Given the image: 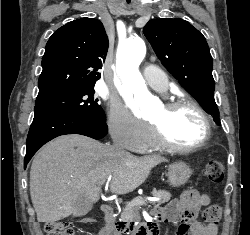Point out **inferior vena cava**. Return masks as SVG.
Listing matches in <instances>:
<instances>
[{
    "instance_id": "inferior-vena-cava-1",
    "label": "inferior vena cava",
    "mask_w": 250,
    "mask_h": 235,
    "mask_svg": "<svg viewBox=\"0 0 250 235\" xmlns=\"http://www.w3.org/2000/svg\"><path fill=\"white\" fill-rule=\"evenodd\" d=\"M113 150L115 152H118V153H127L120 145H118L117 143H114L113 145Z\"/></svg>"
}]
</instances>
